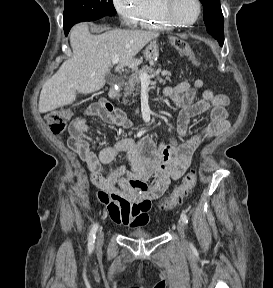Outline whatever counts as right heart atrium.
<instances>
[{
    "mask_svg": "<svg viewBox=\"0 0 273 288\" xmlns=\"http://www.w3.org/2000/svg\"><path fill=\"white\" fill-rule=\"evenodd\" d=\"M112 3L123 23L135 25L142 0H112Z\"/></svg>",
    "mask_w": 273,
    "mask_h": 288,
    "instance_id": "right-heart-atrium-1",
    "label": "right heart atrium"
}]
</instances>
